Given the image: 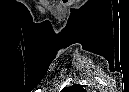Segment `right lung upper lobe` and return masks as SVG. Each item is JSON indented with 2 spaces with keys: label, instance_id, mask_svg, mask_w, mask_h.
<instances>
[{
  "label": "right lung upper lobe",
  "instance_id": "1",
  "mask_svg": "<svg viewBox=\"0 0 129 92\" xmlns=\"http://www.w3.org/2000/svg\"><path fill=\"white\" fill-rule=\"evenodd\" d=\"M74 88L80 89V90L82 89L81 86L73 85V86H71V87L64 88L61 92H70V91H72Z\"/></svg>",
  "mask_w": 129,
  "mask_h": 92
}]
</instances>
